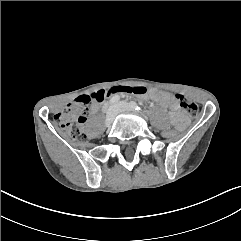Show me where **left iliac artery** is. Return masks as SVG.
<instances>
[{"label": "left iliac artery", "instance_id": "44dca946", "mask_svg": "<svg viewBox=\"0 0 241 241\" xmlns=\"http://www.w3.org/2000/svg\"><path fill=\"white\" fill-rule=\"evenodd\" d=\"M130 106L135 109L136 111H141L142 109L133 101H131L130 103Z\"/></svg>", "mask_w": 241, "mask_h": 241}]
</instances>
